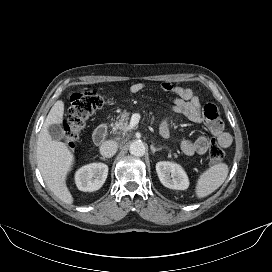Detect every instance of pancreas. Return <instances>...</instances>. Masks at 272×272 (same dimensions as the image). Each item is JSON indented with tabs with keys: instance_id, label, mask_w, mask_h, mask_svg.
Segmentation results:
<instances>
[{
	"instance_id": "1",
	"label": "pancreas",
	"mask_w": 272,
	"mask_h": 272,
	"mask_svg": "<svg viewBox=\"0 0 272 272\" xmlns=\"http://www.w3.org/2000/svg\"><path fill=\"white\" fill-rule=\"evenodd\" d=\"M129 112H122L118 118V120L114 123L113 130L117 131H124L128 127V121H129Z\"/></svg>"
}]
</instances>
